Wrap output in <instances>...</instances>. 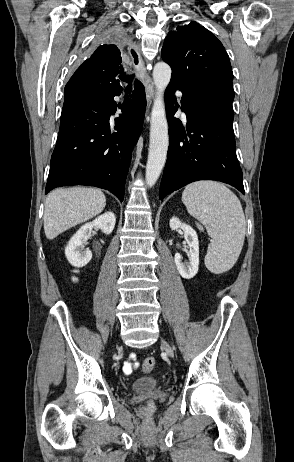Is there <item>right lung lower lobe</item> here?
<instances>
[{"label":"right lung lower lobe","mask_w":294,"mask_h":462,"mask_svg":"<svg viewBox=\"0 0 294 462\" xmlns=\"http://www.w3.org/2000/svg\"><path fill=\"white\" fill-rule=\"evenodd\" d=\"M121 93L122 90L96 97L77 94L70 98L92 99L62 111L46 194L56 187L81 184L109 190L123 201L131 152L141 133L146 98L144 86L137 82L131 99L121 107L122 114L113 125L110 123V116L116 111L113 98Z\"/></svg>","instance_id":"obj_1"}]
</instances>
